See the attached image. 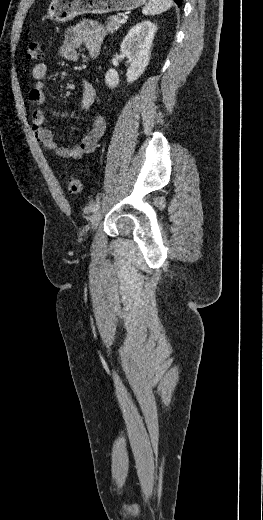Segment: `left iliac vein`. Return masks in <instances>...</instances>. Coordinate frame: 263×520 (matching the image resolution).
Listing matches in <instances>:
<instances>
[{
	"instance_id": "left-iliac-vein-1",
	"label": "left iliac vein",
	"mask_w": 263,
	"mask_h": 520,
	"mask_svg": "<svg viewBox=\"0 0 263 520\" xmlns=\"http://www.w3.org/2000/svg\"><path fill=\"white\" fill-rule=\"evenodd\" d=\"M101 218H102V211L97 210L91 220V226H92L93 230H95L98 227Z\"/></svg>"
}]
</instances>
